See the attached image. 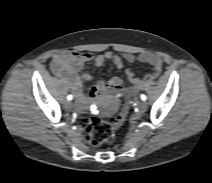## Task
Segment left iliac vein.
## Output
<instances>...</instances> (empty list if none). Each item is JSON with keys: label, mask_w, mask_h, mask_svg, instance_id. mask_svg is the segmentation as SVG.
<instances>
[{"label": "left iliac vein", "mask_w": 212, "mask_h": 183, "mask_svg": "<svg viewBox=\"0 0 212 183\" xmlns=\"http://www.w3.org/2000/svg\"><path fill=\"white\" fill-rule=\"evenodd\" d=\"M140 110L145 111L147 109V102L142 101L139 105Z\"/></svg>", "instance_id": "left-iliac-vein-1"}]
</instances>
